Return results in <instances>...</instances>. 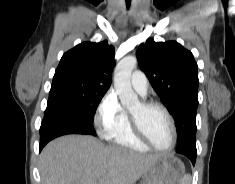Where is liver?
<instances>
[{
  "label": "liver",
  "instance_id": "6515ba94",
  "mask_svg": "<svg viewBox=\"0 0 235 184\" xmlns=\"http://www.w3.org/2000/svg\"><path fill=\"white\" fill-rule=\"evenodd\" d=\"M161 154H138L119 146H104L94 136H62L42 150V184H134Z\"/></svg>",
  "mask_w": 235,
  "mask_h": 184
}]
</instances>
